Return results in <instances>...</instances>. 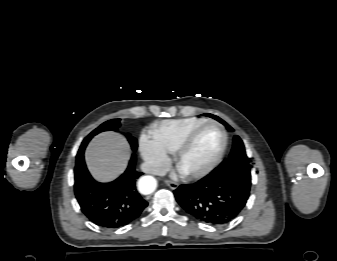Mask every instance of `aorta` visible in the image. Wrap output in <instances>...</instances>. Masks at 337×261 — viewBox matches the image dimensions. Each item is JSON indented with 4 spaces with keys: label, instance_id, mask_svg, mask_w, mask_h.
<instances>
[{
    "label": "aorta",
    "instance_id": "obj_1",
    "mask_svg": "<svg viewBox=\"0 0 337 261\" xmlns=\"http://www.w3.org/2000/svg\"><path fill=\"white\" fill-rule=\"evenodd\" d=\"M157 187V181L152 176H143L138 181V189L144 195L151 194Z\"/></svg>",
    "mask_w": 337,
    "mask_h": 261
}]
</instances>
